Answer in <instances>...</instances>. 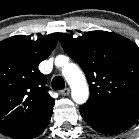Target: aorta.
I'll list each match as a JSON object with an SVG mask.
<instances>
[{
    "instance_id": "762f6f07",
    "label": "aorta",
    "mask_w": 139,
    "mask_h": 139,
    "mask_svg": "<svg viewBox=\"0 0 139 139\" xmlns=\"http://www.w3.org/2000/svg\"><path fill=\"white\" fill-rule=\"evenodd\" d=\"M64 60V56L57 57L56 60ZM62 74L71 88V96L75 103L84 104L89 97V87L80 68L73 63L63 66Z\"/></svg>"
}]
</instances>
